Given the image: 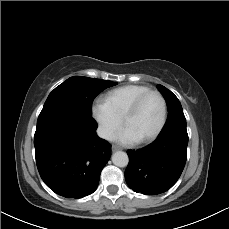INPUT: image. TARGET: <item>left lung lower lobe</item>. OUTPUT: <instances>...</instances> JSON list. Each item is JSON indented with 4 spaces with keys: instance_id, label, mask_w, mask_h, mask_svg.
<instances>
[{
    "instance_id": "left-lung-lower-lobe-1",
    "label": "left lung lower lobe",
    "mask_w": 229,
    "mask_h": 229,
    "mask_svg": "<svg viewBox=\"0 0 229 229\" xmlns=\"http://www.w3.org/2000/svg\"><path fill=\"white\" fill-rule=\"evenodd\" d=\"M187 145L186 126H177L143 149L128 150L129 164L125 171L128 186L146 195L169 190L184 169Z\"/></svg>"
}]
</instances>
